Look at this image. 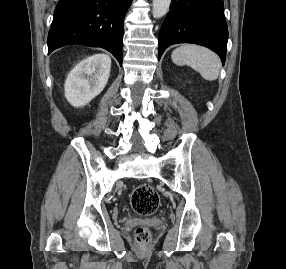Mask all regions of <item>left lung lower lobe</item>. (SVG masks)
<instances>
[{
    "label": "left lung lower lobe",
    "mask_w": 286,
    "mask_h": 269,
    "mask_svg": "<svg viewBox=\"0 0 286 269\" xmlns=\"http://www.w3.org/2000/svg\"><path fill=\"white\" fill-rule=\"evenodd\" d=\"M227 40L223 0H172L159 32V59L172 44L194 43L214 50L224 64Z\"/></svg>",
    "instance_id": "obj_1"
}]
</instances>
